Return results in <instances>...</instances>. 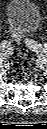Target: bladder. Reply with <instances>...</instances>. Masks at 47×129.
<instances>
[{"label": "bladder", "instance_id": "bladder-1", "mask_svg": "<svg viewBox=\"0 0 47 129\" xmlns=\"http://www.w3.org/2000/svg\"><path fill=\"white\" fill-rule=\"evenodd\" d=\"M6 20L20 36L35 33L41 24V14L31 0H10L6 7Z\"/></svg>", "mask_w": 47, "mask_h": 129}]
</instances>
